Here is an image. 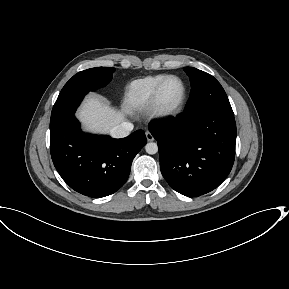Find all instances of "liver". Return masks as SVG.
<instances>
[{"label": "liver", "instance_id": "liver-1", "mask_svg": "<svg viewBox=\"0 0 289 289\" xmlns=\"http://www.w3.org/2000/svg\"><path fill=\"white\" fill-rule=\"evenodd\" d=\"M78 118L85 128L92 132H108L125 118L122 111L111 109L96 95H89L82 104Z\"/></svg>", "mask_w": 289, "mask_h": 289}]
</instances>
